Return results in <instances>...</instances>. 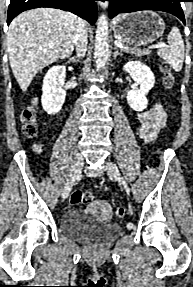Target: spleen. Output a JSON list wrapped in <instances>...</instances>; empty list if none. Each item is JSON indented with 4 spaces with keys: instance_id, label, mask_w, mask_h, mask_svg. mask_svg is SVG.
I'll return each mask as SVG.
<instances>
[{
    "instance_id": "1",
    "label": "spleen",
    "mask_w": 193,
    "mask_h": 287,
    "mask_svg": "<svg viewBox=\"0 0 193 287\" xmlns=\"http://www.w3.org/2000/svg\"><path fill=\"white\" fill-rule=\"evenodd\" d=\"M167 41L169 48H161L157 51L159 57L163 58L176 72L182 69L185 47L181 33L177 27L170 31Z\"/></svg>"
}]
</instances>
